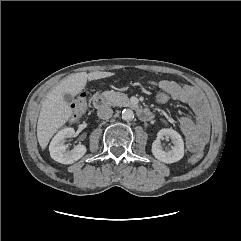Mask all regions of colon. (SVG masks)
Returning a JSON list of instances; mask_svg holds the SVG:
<instances>
[{"mask_svg":"<svg viewBox=\"0 0 241 241\" xmlns=\"http://www.w3.org/2000/svg\"><path fill=\"white\" fill-rule=\"evenodd\" d=\"M155 100L159 104L168 103L171 100V96L168 92L162 89H158L155 93ZM88 104V94L82 92L71 105L72 107V116L71 121L78 120L86 111ZM201 159V154H193L188 160L190 163H197Z\"/></svg>","mask_w":241,"mask_h":241,"instance_id":"1","label":"colon"}]
</instances>
